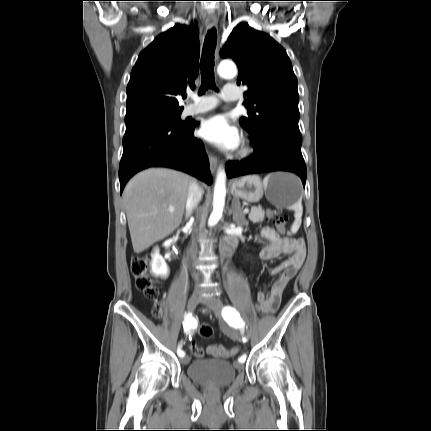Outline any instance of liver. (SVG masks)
I'll list each match as a JSON object with an SVG mask.
<instances>
[{"label":"liver","mask_w":431,"mask_h":431,"mask_svg":"<svg viewBox=\"0 0 431 431\" xmlns=\"http://www.w3.org/2000/svg\"><path fill=\"white\" fill-rule=\"evenodd\" d=\"M190 182L187 174L164 168L147 169L128 182L123 202L135 253L163 240L180 226Z\"/></svg>","instance_id":"liver-1"}]
</instances>
